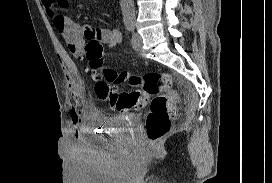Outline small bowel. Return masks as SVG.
I'll use <instances>...</instances> for the list:
<instances>
[{
	"label": "small bowel",
	"mask_w": 272,
	"mask_h": 183,
	"mask_svg": "<svg viewBox=\"0 0 272 183\" xmlns=\"http://www.w3.org/2000/svg\"><path fill=\"white\" fill-rule=\"evenodd\" d=\"M49 18L62 34L69 51L76 58L84 54V47L88 42L97 41L113 49L122 41L119 31L107 28L93 27L89 24L80 25L62 13L64 1L41 0Z\"/></svg>",
	"instance_id": "c3829d8e"
}]
</instances>
